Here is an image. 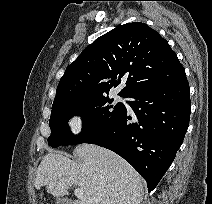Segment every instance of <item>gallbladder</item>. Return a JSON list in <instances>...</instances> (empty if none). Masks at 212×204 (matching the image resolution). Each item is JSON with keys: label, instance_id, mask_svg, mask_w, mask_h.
<instances>
[{"label": "gallbladder", "instance_id": "obj_1", "mask_svg": "<svg viewBox=\"0 0 212 204\" xmlns=\"http://www.w3.org/2000/svg\"><path fill=\"white\" fill-rule=\"evenodd\" d=\"M56 204H73V203L70 199L61 197L56 199Z\"/></svg>", "mask_w": 212, "mask_h": 204}]
</instances>
